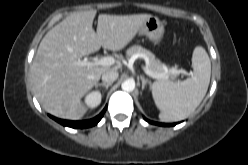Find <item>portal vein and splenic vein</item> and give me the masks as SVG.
Listing matches in <instances>:
<instances>
[{"instance_id": "18ae733b", "label": "portal vein and splenic vein", "mask_w": 248, "mask_h": 165, "mask_svg": "<svg viewBox=\"0 0 248 165\" xmlns=\"http://www.w3.org/2000/svg\"><path fill=\"white\" fill-rule=\"evenodd\" d=\"M76 65L78 66H88V67H94V66H111L113 64H115V58L112 56H106V57H102L99 59H94L93 61H88V60H78L75 62ZM144 72L155 79H166L168 78V73L172 72H178V73H184L186 74V70H179L176 71L175 69H171L170 71H165L162 73H157L154 72L152 70H150L148 67H143Z\"/></svg>"}]
</instances>
